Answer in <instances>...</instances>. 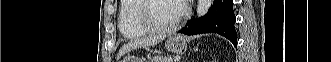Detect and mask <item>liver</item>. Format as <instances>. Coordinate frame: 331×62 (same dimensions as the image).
Listing matches in <instances>:
<instances>
[{"instance_id": "obj_1", "label": "liver", "mask_w": 331, "mask_h": 62, "mask_svg": "<svg viewBox=\"0 0 331 62\" xmlns=\"http://www.w3.org/2000/svg\"><path fill=\"white\" fill-rule=\"evenodd\" d=\"M165 38V35H158V36H149L145 38H140L134 41H130L129 43L125 44L118 53L117 58H120L125 53L130 52L133 49L139 48V47H145V46H154L158 44L159 42L163 41Z\"/></svg>"}]
</instances>
